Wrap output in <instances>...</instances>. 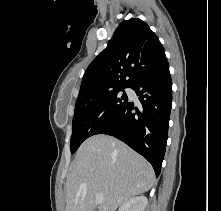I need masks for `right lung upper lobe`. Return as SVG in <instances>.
<instances>
[{"mask_svg": "<svg viewBox=\"0 0 221 211\" xmlns=\"http://www.w3.org/2000/svg\"><path fill=\"white\" fill-rule=\"evenodd\" d=\"M168 65L164 48L149 26L137 18L125 20L88 66L78 98L130 87L142 76Z\"/></svg>", "mask_w": 221, "mask_h": 211, "instance_id": "right-lung-upper-lobe-1", "label": "right lung upper lobe"}]
</instances>
